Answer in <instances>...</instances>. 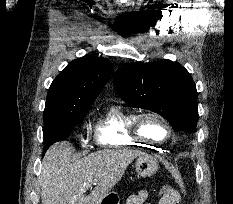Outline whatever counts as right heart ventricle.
Wrapping results in <instances>:
<instances>
[{
	"instance_id": "1",
	"label": "right heart ventricle",
	"mask_w": 233,
	"mask_h": 204,
	"mask_svg": "<svg viewBox=\"0 0 233 204\" xmlns=\"http://www.w3.org/2000/svg\"><path fill=\"white\" fill-rule=\"evenodd\" d=\"M134 111L121 104H112L97 119L94 137L96 143L105 148L147 147L148 142L135 136L132 123Z\"/></svg>"
}]
</instances>
